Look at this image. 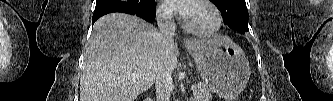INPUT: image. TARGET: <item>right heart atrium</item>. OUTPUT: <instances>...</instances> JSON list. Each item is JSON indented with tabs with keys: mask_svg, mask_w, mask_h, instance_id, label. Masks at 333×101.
Returning a JSON list of instances; mask_svg holds the SVG:
<instances>
[{
	"mask_svg": "<svg viewBox=\"0 0 333 101\" xmlns=\"http://www.w3.org/2000/svg\"><path fill=\"white\" fill-rule=\"evenodd\" d=\"M157 16L163 21H169L173 17V12L170 7L165 4H161L157 10Z\"/></svg>",
	"mask_w": 333,
	"mask_h": 101,
	"instance_id": "1",
	"label": "right heart atrium"
}]
</instances>
